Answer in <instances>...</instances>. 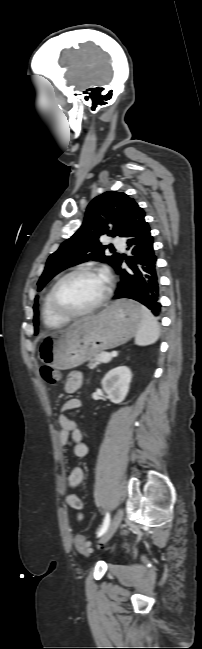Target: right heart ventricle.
I'll return each instance as SVG.
<instances>
[{"mask_svg": "<svg viewBox=\"0 0 202 649\" xmlns=\"http://www.w3.org/2000/svg\"><path fill=\"white\" fill-rule=\"evenodd\" d=\"M50 292H51V288L47 290L42 301V306H41L42 320L43 323L48 328H59L65 325L69 321V319L58 315L54 311L50 300Z\"/></svg>", "mask_w": 202, "mask_h": 649, "instance_id": "right-heart-ventricle-1", "label": "right heart ventricle"}]
</instances>
